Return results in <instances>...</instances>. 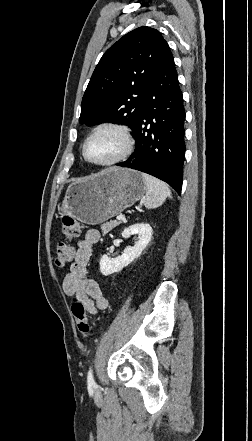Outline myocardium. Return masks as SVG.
<instances>
[{
	"instance_id": "myocardium-1",
	"label": "myocardium",
	"mask_w": 252,
	"mask_h": 441,
	"mask_svg": "<svg viewBox=\"0 0 252 441\" xmlns=\"http://www.w3.org/2000/svg\"><path fill=\"white\" fill-rule=\"evenodd\" d=\"M105 130L114 131L121 136L123 140V149L117 156H115L110 160L102 161V162L94 161L90 159L87 155V144L96 134ZM134 146H135L134 138L132 136L130 129L127 126L119 123L106 122L97 125L86 137L82 145V156L85 159V161L88 162L89 164L95 166H101V167H109L125 161L132 154L134 150Z\"/></svg>"
}]
</instances>
